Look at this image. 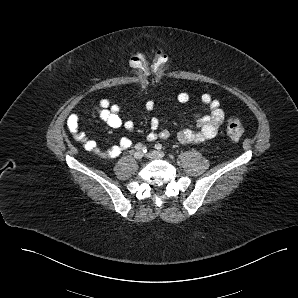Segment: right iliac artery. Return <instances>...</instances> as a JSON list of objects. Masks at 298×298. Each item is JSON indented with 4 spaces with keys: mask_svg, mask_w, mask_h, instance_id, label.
I'll return each mask as SVG.
<instances>
[{
    "mask_svg": "<svg viewBox=\"0 0 298 298\" xmlns=\"http://www.w3.org/2000/svg\"><path fill=\"white\" fill-rule=\"evenodd\" d=\"M135 149H136V150H142L143 152H146V151H147V150H146V146H143V145L140 144V143L136 144Z\"/></svg>",
    "mask_w": 298,
    "mask_h": 298,
    "instance_id": "obj_1",
    "label": "right iliac artery"
}]
</instances>
